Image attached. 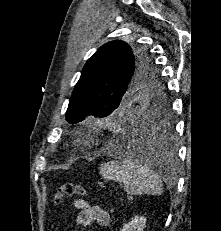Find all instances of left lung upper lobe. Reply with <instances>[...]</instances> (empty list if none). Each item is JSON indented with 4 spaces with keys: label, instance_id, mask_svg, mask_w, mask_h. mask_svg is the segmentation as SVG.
Returning a JSON list of instances; mask_svg holds the SVG:
<instances>
[{
    "label": "left lung upper lobe",
    "instance_id": "1",
    "mask_svg": "<svg viewBox=\"0 0 221 231\" xmlns=\"http://www.w3.org/2000/svg\"><path fill=\"white\" fill-rule=\"evenodd\" d=\"M136 102L145 115L168 122L166 87L159 80L150 54L115 40L101 46L86 62L69 101L66 119L75 124L92 116H115Z\"/></svg>",
    "mask_w": 221,
    "mask_h": 231
}]
</instances>
